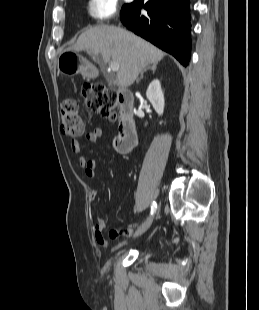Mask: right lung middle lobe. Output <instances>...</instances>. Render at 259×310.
<instances>
[{
  "mask_svg": "<svg viewBox=\"0 0 259 310\" xmlns=\"http://www.w3.org/2000/svg\"><path fill=\"white\" fill-rule=\"evenodd\" d=\"M129 5H130V4L124 5V6L122 7L121 12H123L124 10H126V9L129 7Z\"/></svg>",
  "mask_w": 259,
  "mask_h": 310,
  "instance_id": "1",
  "label": "right lung middle lobe"
}]
</instances>
